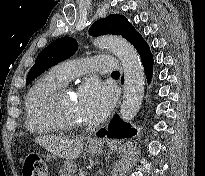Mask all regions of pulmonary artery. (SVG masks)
<instances>
[{
	"mask_svg": "<svg viewBox=\"0 0 205 176\" xmlns=\"http://www.w3.org/2000/svg\"><path fill=\"white\" fill-rule=\"evenodd\" d=\"M119 58L113 55H98L86 60H73L58 63L52 72L64 83L85 73L106 74L118 70Z\"/></svg>",
	"mask_w": 205,
	"mask_h": 176,
	"instance_id": "e3ab8cb5",
	"label": "pulmonary artery"
}]
</instances>
